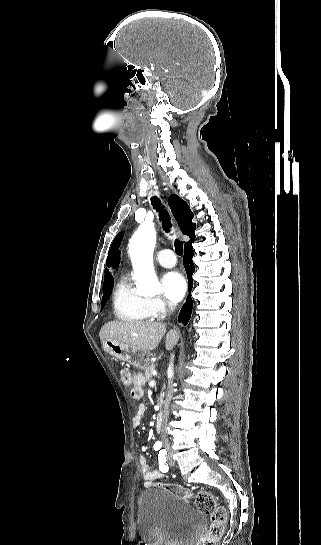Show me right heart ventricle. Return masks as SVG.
<instances>
[{"label":"right heart ventricle","mask_w":321,"mask_h":545,"mask_svg":"<svg viewBox=\"0 0 321 545\" xmlns=\"http://www.w3.org/2000/svg\"><path fill=\"white\" fill-rule=\"evenodd\" d=\"M112 309L114 317L122 322L140 324L152 319L144 301L137 296L124 275L119 276L114 288Z\"/></svg>","instance_id":"right-heart-ventricle-1"}]
</instances>
